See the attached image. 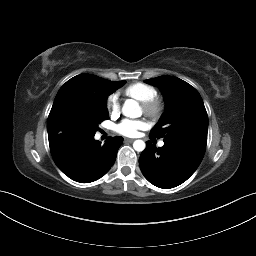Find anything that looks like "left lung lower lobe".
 Instances as JSON below:
<instances>
[{
	"label": "left lung lower lobe",
	"instance_id": "0a47b994",
	"mask_svg": "<svg viewBox=\"0 0 256 256\" xmlns=\"http://www.w3.org/2000/svg\"><path fill=\"white\" fill-rule=\"evenodd\" d=\"M204 155L174 144L156 148L150 141L141 153L139 165L153 185L170 189L185 182L198 168Z\"/></svg>",
	"mask_w": 256,
	"mask_h": 256
}]
</instances>
